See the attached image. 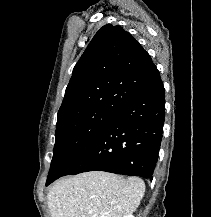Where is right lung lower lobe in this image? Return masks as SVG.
I'll list each match as a JSON object with an SVG mask.
<instances>
[{
  "instance_id": "98d812e1",
  "label": "right lung lower lobe",
  "mask_w": 211,
  "mask_h": 217,
  "mask_svg": "<svg viewBox=\"0 0 211 217\" xmlns=\"http://www.w3.org/2000/svg\"><path fill=\"white\" fill-rule=\"evenodd\" d=\"M164 91L159 80L133 96L62 176L96 170L152 180L163 133Z\"/></svg>"
}]
</instances>
